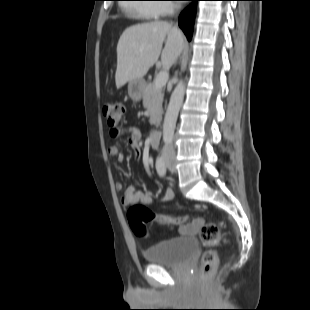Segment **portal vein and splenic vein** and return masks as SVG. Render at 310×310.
<instances>
[{
	"label": "portal vein and splenic vein",
	"instance_id": "18ae733b",
	"mask_svg": "<svg viewBox=\"0 0 310 310\" xmlns=\"http://www.w3.org/2000/svg\"><path fill=\"white\" fill-rule=\"evenodd\" d=\"M169 78V74L167 71H161L156 79H155V83L154 86L156 89H162V87H164L168 81Z\"/></svg>",
	"mask_w": 310,
	"mask_h": 310
}]
</instances>
